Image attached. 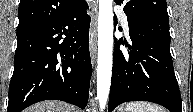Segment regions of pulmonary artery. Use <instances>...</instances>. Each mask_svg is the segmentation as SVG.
Wrapping results in <instances>:
<instances>
[{
  "label": "pulmonary artery",
  "mask_w": 193,
  "mask_h": 112,
  "mask_svg": "<svg viewBox=\"0 0 193 112\" xmlns=\"http://www.w3.org/2000/svg\"><path fill=\"white\" fill-rule=\"evenodd\" d=\"M115 12L117 13V15L119 16L124 28L126 30H128V21H127V17L125 15V13L123 12L122 8L120 7H116L115 8Z\"/></svg>",
  "instance_id": "obj_1"
}]
</instances>
